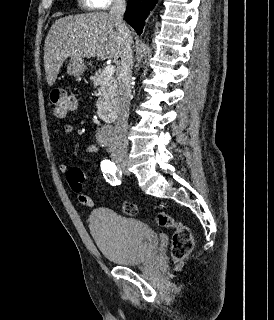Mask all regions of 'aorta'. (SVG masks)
I'll list each match as a JSON object with an SVG mask.
<instances>
[{
	"label": "aorta",
	"instance_id": "1",
	"mask_svg": "<svg viewBox=\"0 0 274 320\" xmlns=\"http://www.w3.org/2000/svg\"><path fill=\"white\" fill-rule=\"evenodd\" d=\"M112 136H113V131L111 129H109V128H106L101 132L100 140L102 142H105L106 140H108Z\"/></svg>",
	"mask_w": 274,
	"mask_h": 320
}]
</instances>
